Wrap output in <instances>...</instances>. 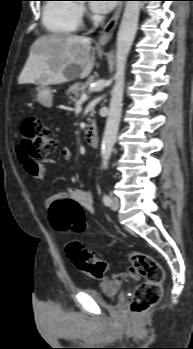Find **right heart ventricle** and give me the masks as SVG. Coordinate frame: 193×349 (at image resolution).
I'll return each mask as SVG.
<instances>
[{
  "label": "right heart ventricle",
  "mask_w": 193,
  "mask_h": 349,
  "mask_svg": "<svg viewBox=\"0 0 193 349\" xmlns=\"http://www.w3.org/2000/svg\"><path fill=\"white\" fill-rule=\"evenodd\" d=\"M42 23L50 34L71 35L81 26L80 6L73 0H48L43 8Z\"/></svg>",
  "instance_id": "e07e8e85"
}]
</instances>
